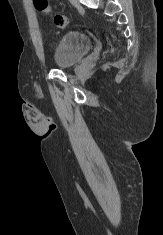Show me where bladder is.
Returning <instances> with one entry per match:
<instances>
[{
    "instance_id": "31cf9c89",
    "label": "bladder",
    "mask_w": 163,
    "mask_h": 235,
    "mask_svg": "<svg viewBox=\"0 0 163 235\" xmlns=\"http://www.w3.org/2000/svg\"><path fill=\"white\" fill-rule=\"evenodd\" d=\"M92 46L91 39L78 31L66 32L54 50V63L59 69L71 68L82 61Z\"/></svg>"
}]
</instances>
